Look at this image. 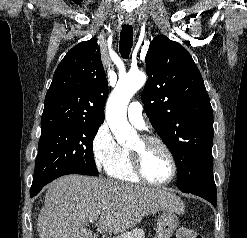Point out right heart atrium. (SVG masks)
<instances>
[{
  "label": "right heart atrium",
  "instance_id": "obj_1",
  "mask_svg": "<svg viewBox=\"0 0 247 238\" xmlns=\"http://www.w3.org/2000/svg\"><path fill=\"white\" fill-rule=\"evenodd\" d=\"M91 149L96 168L100 171H107L117 158L121 147L106 122L102 123L95 131Z\"/></svg>",
  "mask_w": 247,
  "mask_h": 238
}]
</instances>
